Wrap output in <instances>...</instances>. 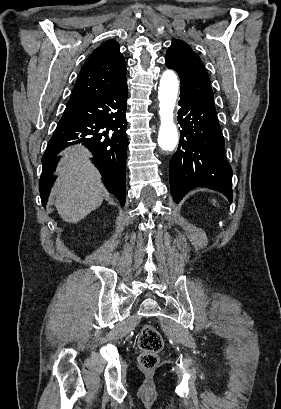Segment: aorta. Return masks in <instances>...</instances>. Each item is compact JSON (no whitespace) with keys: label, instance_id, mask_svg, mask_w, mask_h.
Instances as JSON below:
<instances>
[{"label":"aorta","instance_id":"aorta-1","mask_svg":"<svg viewBox=\"0 0 281 409\" xmlns=\"http://www.w3.org/2000/svg\"><path fill=\"white\" fill-rule=\"evenodd\" d=\"M179 90L176 74L166 70L160 79L158 89L160 129L158 144L164 151H173L178 143V131L174 123V108Z\"/></svg>","mask_w":281,"mask_h":409}]
</instances>
